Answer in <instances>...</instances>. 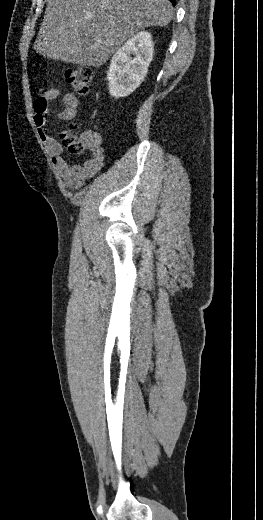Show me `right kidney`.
<instances>
[{"mask_svg": "<svg viewBox=\"0 0 263 520\" xmlns=\"http://www.w3.org/2000/svg\"><path fill=\"white\" fill-rule=\"evenodd\" d=\"M153 47L152 35L142 31L115 52L107 72L112 97H126L139 87L152 61Z\"/></svg>", "mask_w": 263, "mask_h": 520, "instance_id": "obj_1", "label": "right kidney"}]
</instances>
